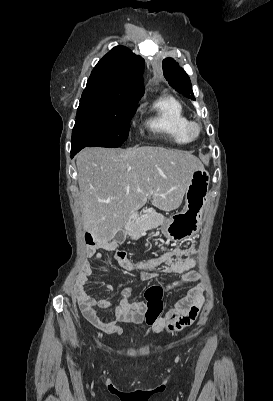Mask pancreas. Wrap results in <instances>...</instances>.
I'll return each instance as SVG.
<instances>
[{"label": "pancreas", "mask_w": 273, "mask_h": 401, "mask_svg": "<svg viewBox=\"0 0 273 401\" xmlns=\"http://www.w3.org/2000/svg\"><path fill=\"white\" fill-rule=\"evenodd\" d=\"M164 221L163 215L156 213V211H151V213H143V215H140L135 223H127L125 229L129 237H131L133 241H137V239L143 237V233L151 231V229H157V227L163 225Z\"/></svg>", "instance_id": "obj_1"}]
</instances>
